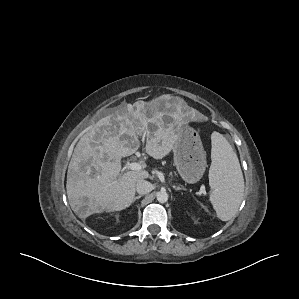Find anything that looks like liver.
Listing matches in <instances>:
<instances>
[{
    "label": "liver",
    "mask_w": 299,
    "mask_h": 299,
    "mask_svg": "<svg viewBox=\"0 0 299 299\" xmlns=\"http://www.w3.org/2000/svg\"><path fill=\"white\" fill-rule=\"evenodd\" d=\"M158 102L121 104L113 113L100 119L77 143L67 172V196L80 218L129 207L135 197L136 183L146 179L145 170L120 175L121 158L135 153L139 136H146L145 150L154 159L167 156L174 147L173 124H165Z\"/></svg>",
    "instance_id": "1"
}]
</instances>
